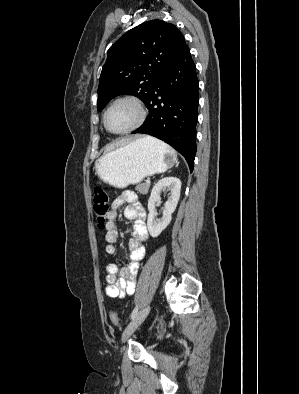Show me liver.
I'll list each match as a JSON object with an SVG mask.
<instances>
[{"label":"liver","instance_id":"6515ba94","mask_svg":"<svg viewBox=\"0 0 299 394\" xmlns=\"http://www.w3.org/2000/svg\"><path fill=\"white\" fill-rule=\"evenodd\" d=\"M129 140L127 139V140H123V141H121L120 142V144H125V143H127Z\"/></svg>","mask_w":299,"mask_h":394}]
</instances>
